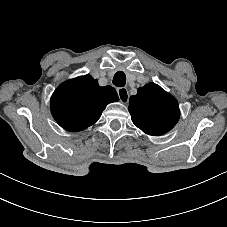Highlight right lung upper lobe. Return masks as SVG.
Listing matches in <instances>:
<instances>
[{
  "instance_id": "1",
  "label": "right lung upper lobe",
  "mask_w": 227,
  "mask_h": 227,
  "mask_svg": "<svg viewBox=\"0 0 227 227\" xmlns=\"http://www.w3.org/2000/svg\"><path fill=\"white\" fill-rule=\"evenodd\" d=\"M118 100L113 87H100L88 74L57 87L51 97V112L62 128L82 131L97 122L107 104Z\"/></svg>"
}]
</instances>
